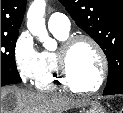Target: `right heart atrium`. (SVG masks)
Returning a JSON list of instances; mask_svg holds the SVG:
<instances>
[{"label":"right heart atrium","instance_id":"d8ad5b80","mask_svg":"<svg viewBox=\"0 0 123 113\" xmlns=\"http://www.w3.org/2000/svg\"><path fill=\"white\" fill-rule=\"evenodd\" d=\"M40 53L31 35L24 31L20 33L13 46V59L16 72L22 83H35L39 71Z\"/></svg>","mask_w":123,"mask_h":113}]
</instances>
